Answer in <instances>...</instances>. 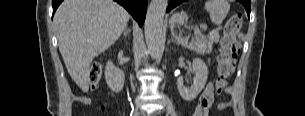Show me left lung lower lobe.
I'll return each mask as SVG.
<instances>
[{"label": "left lung lower lobe", "mask_w": 305, "mask_h": 116, "mask_svg": "<svg viewBox=\"0 0 305 116\" xmlns=\"http://www.w3.org/2000/svg\"><path fill=\"white\" fill-rule=\"evenodd\" d=\"M185 1L186 0H170L167 11H170L172 8L176 7L177 5ZM239 2H241L244 5L247 14L250 15V0H240Z\"/></svg>", "instance_id": "left-lung-lower-lobe-1"}]
</instances>
